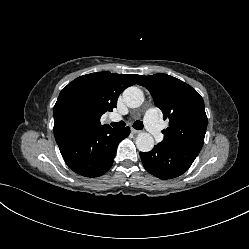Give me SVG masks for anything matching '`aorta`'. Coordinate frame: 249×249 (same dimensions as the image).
Listing matches in <instances>:
<instances>
[{
  "label": "aorta",
  "mask_w": 249,
  "mask_h": 249,
  "mask_svg": "<svg viewBox=\"0 0 249 249\" xmlns=\"http://www.w3.org/2000/svg\"><path fill=\"white\" fill-rule=\"evenodd\" d=\"M123 99L128 107L137 108L143 103L144 94L140 88L131 86L123 92ZM135 143L141 152H149L154 147L153 137L146 132L138 134Z\"/></svg>",
  "instance_id": "1"
}]
</instances>
